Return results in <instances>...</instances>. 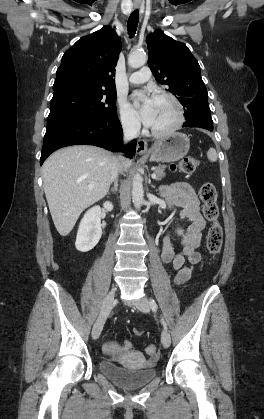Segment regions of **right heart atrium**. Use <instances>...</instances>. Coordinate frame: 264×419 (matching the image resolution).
<instances>
[{
  "label": "right heart atrium",
  "instance_id": "right-heart-atrium-1",
  "mask_svg": "<svg viewBox=\"0 0 264 419\" xmlns=\"http://www.w3.org/2000/svg\"><path fill=\"white\" fill-rule=\"evenodd\" d=\"M117 105L123 129L129 133H136L140 128V123L135 113L123 99H119Z\"/></svg>",
  "mask_w": 264,
  "mask_h": 419
}]
</instances>
